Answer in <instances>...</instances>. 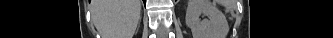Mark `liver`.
<instances>
[{"instance_id":"liver-1","label":"liver","mask_w":333,"mask_h":38,"mask_svg":"<svg viewBox=\"0 0 333 38\" xmlns=\"http://www.w3.org/2000/svg\"><path fill=\"white\" fill-rule=\"evenodd\" d=\"M141 11L140 0H93L91 16L102 38H132Z\"/></svg>"}]
</instances>
